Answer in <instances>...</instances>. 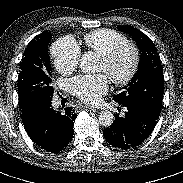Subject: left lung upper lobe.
Segmentation results:
<instances>
[{"instance_id": "5c2ea615", "label": "left lung upper lobe", "mask_w": 183, "mask_h": 183, "mask_svg": "<svg viewBox=\"0 0 183 183\" xmlns=\"http://www.w3.org/2000/svg\"><path fill=\"white\" fill-rule=\"evenodd\" d=\"M130 34L141 51L138 71L124 91L114 96L121 105L135 104L159 116L164 93V77L155 45L145 34L132 26H118Z\"/></svg>"}]
</instances>
